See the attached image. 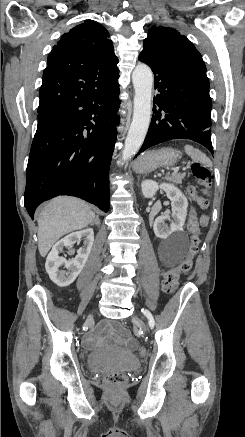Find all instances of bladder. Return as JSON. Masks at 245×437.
Returning <instances> with one entry per match:
<instances>
[{
	"instance_id": "1",
	"label": "bladder",
	"mask_w": 245,
	"mask_h": 437,
	"mask_svg": "<svg viewBox=\"0 0 245 437\" xmlns=\"http://www.w3.org/2000/svg\"><path fill=\"white\" fill-rule=\"evenodd\" d=\"M87 365L94 371L127 372L140 366L130 352L118 348H102L87 355Z\"/></svg>"
}]
</instances>
